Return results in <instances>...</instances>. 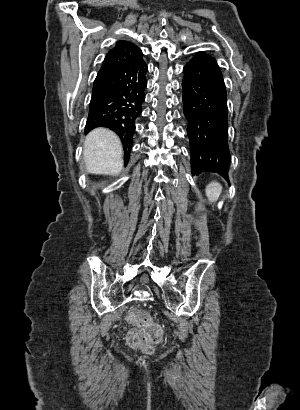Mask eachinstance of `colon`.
Segmentation results:
<instances>
[{
	"mask_svg": "<svg viewBox=\"0 0 300 410\" xmlns=\"http://www.w3.org/2000/svg\"><path fill=\"white\" fill-rule=\"evenodd\" d=\"M128 320L136 326L127 335L128 344L132 348L151 351L162 338V328L140 308L131 309Z\"/></svg>",
	"mask_w": 300,
	"mask_h": 410,
	"instance_id": "obj_1",
	"label": "colon"
}]
</instances>
